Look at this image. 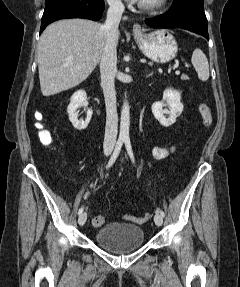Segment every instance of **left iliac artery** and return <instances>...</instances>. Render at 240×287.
<instances>
[{
    "label": "left iliac artery",
    "mask_w": 240,
    "mask_h": 287,
    "mask_svg": "<svg viewBox=\"0 0 240 287\" xmlns=\"http://www.w3.org/2000/svg\"><path fill=\"white\" fill-rule=\"evenodd\" d=\"M125 146H126V149H127V152H128L130 159L132 160L133 163H135L134 154L132 151L130 140H128V139L125 140ZM159 213L162 215V217H165V213L163 210H159Z\"/></svg>",
    "instance_id": "left-iliac-artery-1"
}]
</instances>
